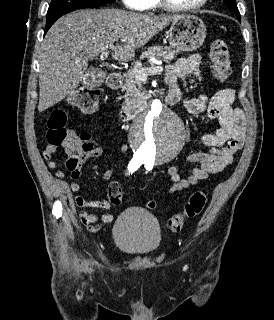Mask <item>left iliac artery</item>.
<instances>
[{
  "instance_id": "1",
  "label": "left iliac artery",
  "mask_w": 274,
  "mask_h": 320,
  "mask_svg": "<svg viewBox=\"0 0 274 320\" xmlns=\"http://www.w3.org/2000/svg\"><path fill=\"white\" fill-rule=\"evenodd\" d=\"M144 165H145V168H146L148 171H150V170H152L154 163L151 162V161H149V160H145V161H144Z\"/></svg>"
}]
</instances>
